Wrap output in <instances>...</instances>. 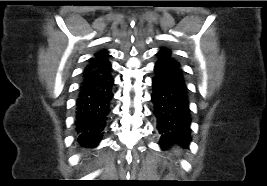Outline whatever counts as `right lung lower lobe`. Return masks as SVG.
Instances as JSON below:
<instances>
[{
  "label": "right lung lower lobe",
  "instance_id": "obj_1",
  "mask_svg": "<svg viewBox=\"0 0 267 186\" xmlns=\"http://www.w3.org/2000/svg\"><path fill=\"white\" fill-rule=\"evenodd\" d=\"M111 71V63L105 61L88 65L82 73L75 105V129L83 146H97L106 126L113 98Z\"/></svg>",
  "mask_w": 267,
  "mask_h": 186
}]
</instances>
